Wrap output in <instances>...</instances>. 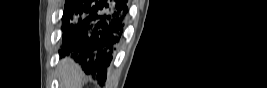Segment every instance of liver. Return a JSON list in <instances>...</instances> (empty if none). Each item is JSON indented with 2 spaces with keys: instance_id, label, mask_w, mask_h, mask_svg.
Listing matches in <instances>:
<instances>
[{
  "instance_id": "liver-1",
  "label": "liver",
  "mask_w": 267,
  "mask_h": 88,
  "mask_svg": "<svg viewBox=\"0 0 267 88\" xmlns=\"http://www.w3.org/2000/svg\"><path fill=\"white\" fill-rule=\"evenodd\" d=\"M84 73L70 57L61 59L58 65V78L61 88H82Z\"/></svg>"
}]
</instances>
